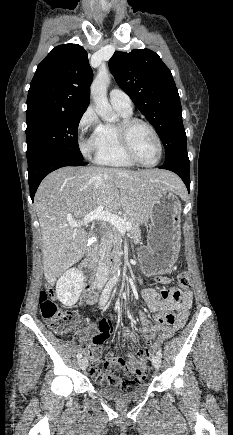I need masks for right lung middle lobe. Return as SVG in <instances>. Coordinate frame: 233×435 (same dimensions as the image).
Masks as SVG:
<instances>
[{
	"label": "right lung middle lobe",
	"mask_w": 233,
	"mask_h": 435,
	"mask_svg": "<svg viewBox=\"0 0 233 435\" xmlns=\"http://www.w3.org/2000/svg\"><path fill=\"white\" fill-rule=\"evenodd\" d=\"M84 112H47L27 117V160L44 153H60L83 160L77 131Z\"/></svg>",
	"instance_id": "1"
}]
</instances>
